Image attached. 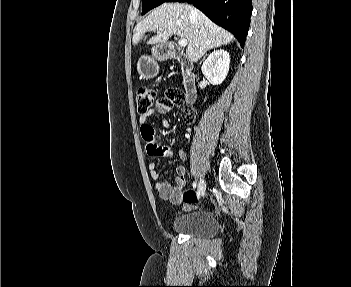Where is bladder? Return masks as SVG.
Listing matches in <instances>:
<instances>
[{
    "instance_id": "1",
    "label": "bladder",
    "mask_w": 351,
    "mask_h": 287,
    "mask_svg": "<svg viewBox=\"0 0 351 287\" xmlns=\"http://www.w3.org/2000/svg\"><path fill=\"white\" fill-rule=\"evenodd\" d=\"M172 229L185 235L208 237L218 231L219 223L212 212L197 210L175 218Z\"/></svg>"
}]
</instances>
